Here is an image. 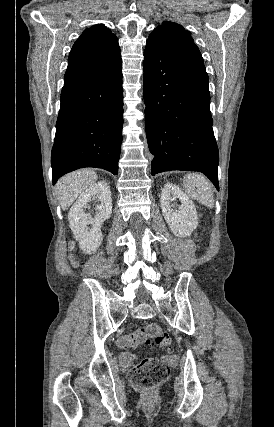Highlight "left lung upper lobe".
Segmentation results:
<instances>
[{"instance_id": "left-lung-upper-lobe-1", "label": "left lung upper lobe", "mask_w": 274, "mask_h": 427, "mask_svg": "<svg viewBox=\"0 0 274 427\" xmlns=\"http://www.w3.org/2000/svg\"><path fill=\"white\" fill-rule=\"evenodd\" d=\"M148 40L162 42L172 51L204 64L200 51L190 36V32L177 23L162 22V25L158 26L150 34Z\"/></svg>"}]
</instances>
